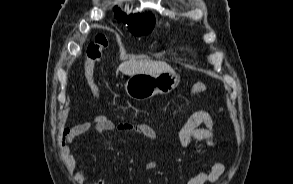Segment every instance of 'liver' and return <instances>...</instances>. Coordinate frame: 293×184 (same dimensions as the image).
<instances>
[{"instance_id":"1","label":"liver","mask_w":293,"mask_h":184,"mask_svg":"<svg viewBox=\"0 0 293 184\" xmlns=\"http://www.w3.org/2000/svg\"><path fill=\"white\" fill-rule=\"evenodd\" d=\"M118 70L129 76L138 73L156 74L162 72H174L173 68L166 62L134 58L121 63Z\"/></svg>"}]
</instances>
